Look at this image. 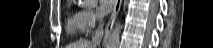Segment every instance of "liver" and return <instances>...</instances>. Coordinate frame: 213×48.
Returning a JSON list of instances; mask_svg holds the SVG:
<instances>
[{
    "label": "liver",
    "instance_id": "obj_1",
    "mask_svg": "<svg viewBox=\"0 0 213 48\" xmlns=\"http://www.w3.org/2000/svg\"><path fill=\"white\" fill-rule=\"evenodd\" d=\"M68 48H95V45L88 40H79L76 43L69 45Z\"/></svg>",
    "mask_w": 213,
    "mask_h": 48
}]
</instances>
